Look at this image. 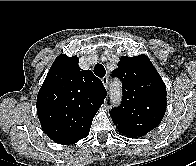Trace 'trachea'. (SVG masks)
I'll return each mask as SVG.
<instances>
[{
	"label": "trachea",
	"instance_id": "1",
	"mask_svg": "<svg viewBox=\"0 0 196 166\" xmlns=\"http://www.w3.org/2000/svg\"><path fill=\"white\" fill-rule=\"evenodd\" d=\"M94 73L98 77H103L106 73L105 67L102 64H97L94 67Z\"/></svg>",
	"mask_w": 196,
	"mask_h": 166
}]
</instances>
